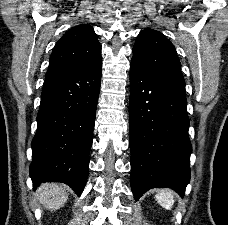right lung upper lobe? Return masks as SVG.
Returning <instances> with one entry per match:
<instances>
[{
	"label": "right lung upper lobe",
	"instance_id": "1",
	"mask_svg": "<svg viewBox=\"0 0 228 225\" xmlns=\"http://www.w3.org/2000/svg\"><path fill=\"white\" fill-rule=\"evenodd\" d=\"M100 53L101 46L93 28L88 24L75 26L56 43L45 78L82 68L100 58Z\"/></svg>",
	"mask_w": 228,
	"mask_h": 225
}]
</instances>
